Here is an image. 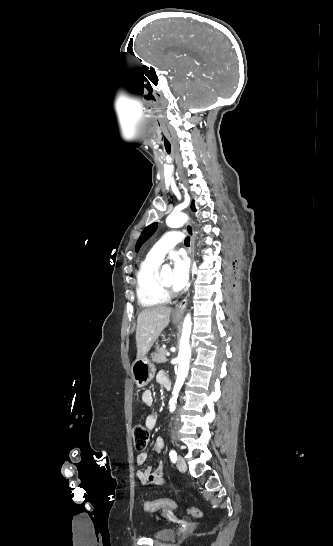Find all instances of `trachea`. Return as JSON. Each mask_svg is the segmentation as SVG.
I'll use <instances>...</instances> for the list:
<instances>
[{
  "label": "trachea",
  "instance_id": "trachea-1",
  "mask_svg": "<svg viewBox=\"0 0 333 546\" xmlns=\"http://www.w3.org/2000/svg\"><path fill=\"white\" fill-rule=\"evenodd\" d=\"M184 243H185L186 246H189L190 245V237H186Z\"/></svg>",
  "mask_w": 333,
  "mask_h": 546
}]
</instances>
